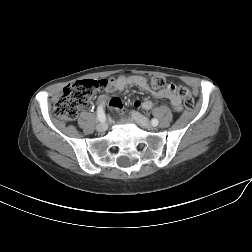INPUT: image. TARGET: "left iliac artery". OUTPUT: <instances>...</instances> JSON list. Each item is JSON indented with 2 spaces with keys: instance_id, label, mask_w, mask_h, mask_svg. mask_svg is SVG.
I'll list each match as a JSON object with an SVG mask.
<instances>
[{
  "instance_id": "44dca946",
  "label": "left iliac artery",
  "mask_w": 252,
  "mask_h": 252,
  "mask_svg": "<svg viewBox=\"0 0 252 252\" xmlns=\"http://www.w3.org/2000/svg\"><path fill=\"white\" fill-rule=\"evenodd\" d=\"M158 123H159V121L156 118H153L152 121H151L152 126H157Z\"/></svg>"
}]
</instances>
